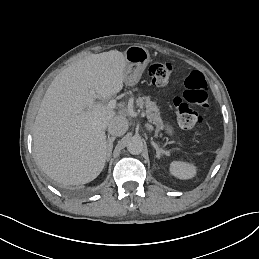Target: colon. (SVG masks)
<instances>
[{
	"label": "colon",
	"mask_w": 259,
	"mask_h": 259,
	"mask_svg": "<svg viewBox=\"0 0 259 259\" xmlns=\"http://www.w3.org/2000/svg\"><path fill=\"white\" fill-rule=\"evenodd\" d=\"M173 72L169 62H154L149 67L152 83L157 87L168 85ZM183 97L174 99L175 113L181 128L192 130L203 121L202 116L193 108V105L208 107V84L204 75L199 71H192L184 82Z\"/></svg>",
	"instance_id": "colon-1"
}]
</instances>
